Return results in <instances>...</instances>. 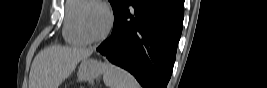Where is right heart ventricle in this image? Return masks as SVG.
<instances>
[{
	"instance_id": "e07e8e85",
	"label": "right heart ventricle",
	"mask_w": 267,
	"mask_h": 88,
	"mask_svg": "<svg viewBox=\"0 0 267 88\" xmlns=\"http://www.w3.org/2000/svg\"><path fill=\"white\" fill-rule=\"evenodd\" d=\"M89 1L90 0H70L66 2L63 36L65 41L71 45L82 46L87 43L78 31L77 15L80 9Z\"/></svg>"
}]
</instances>
